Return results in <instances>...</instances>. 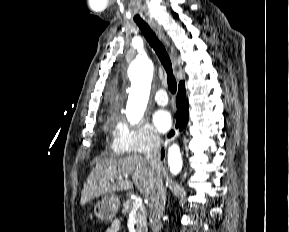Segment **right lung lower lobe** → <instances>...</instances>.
Segmentation results:
<instances>
[{"label": "right lung lower lobe", "mask_w": 289, "mask_h": 232, "mask_svg": "<svg viewBox=\"0 0 289 232\" xmlns=\"http://www.w3.org/2000/svg\"><path fill=\"white\" fill-rule=\"evenodd\" d=\"M188 121V101L186 100V91L185 87H179L178 95H177V113H176V127L179 130H183ZM174 132L169 134V137L173 136ZM165 153L164 149L161 153V158L163 159Z\"/></svg>", "instance_id": "98d812e1"}]
</instances>
